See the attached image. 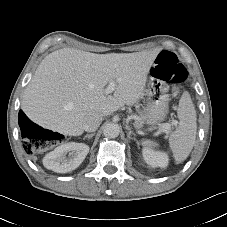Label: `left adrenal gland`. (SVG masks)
Instances as JSON below:
<instances>
[{"instance_id":"1","label":"left adrenal gland","mask_w":227,"mask_h":227,"mask_svg":"<svg viewBox=\"0 0 227 227\" xmlns=\"http://www.w3.org/2000/svg\"><path fill=\"white\" fill-rule=\"evenodd\" d=\"M126 129L128 130V138L137 142L135 138V133L131 130V128L128 125H126ZM132 135L133 137H131Z\"/></svg>"}]
</instances>
